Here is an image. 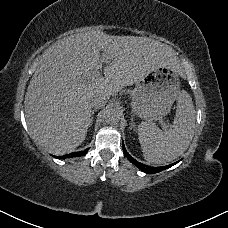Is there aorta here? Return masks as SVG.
<instances>
[{
  "mask_svg": "<svg viewBox=\"0 0 228 228\" xmlns=\"http://www.w3.org/2000/svg\"><path fill=\"white\" fill-rule=\"evenodd\" d=\"M119 113L116 109H109L106 113L105 120L108 124H117L119 122Z\"/></svg>",
  "mask_w": 228,
  "mask_h": 228,
  "instance_id": "aorta-1",
  "label": "aorta"
}]
</instances>
